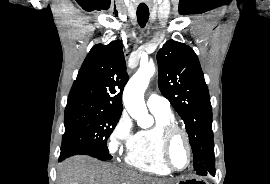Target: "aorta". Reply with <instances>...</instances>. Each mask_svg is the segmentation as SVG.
<instances>
[{"label": "aorta", "mask_w": 270, "mask_h": 184, "mask_svg": "<svg viewBox=\"0 0 270 184\" xmlns=\"http://www.w3.org/2000/svg\"><path fill=\"white\" fill-rule=\"evenodd\" d=\"M155 70L152 63L141 64L123 92V103L127 112L142 128H148L153 124V118L148 114L144 101V92Z\"/></svg>", "instance_id": "obj_1"}]
</instances>
